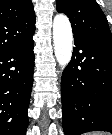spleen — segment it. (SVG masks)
<instances>
[{"label": "spleen", "mask_w": 112, "mask_h": 135, "mask_svg": "<svg viewBox=\"0 0 112 135\" xmlns=\"http://www.w3.org/2000/svg\"><path fill=\"white\" fill-rule=\"evenodd\" d=\"M88 135H106V134H104V133H99V132H94V133H90V134H88Z\"/></svg>", "instance_id": "spleen-1"}]
</instances>
